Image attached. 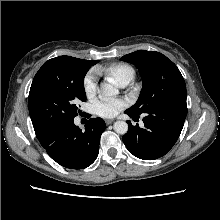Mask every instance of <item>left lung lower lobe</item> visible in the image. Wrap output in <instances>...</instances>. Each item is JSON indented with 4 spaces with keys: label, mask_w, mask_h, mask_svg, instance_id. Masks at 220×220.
<instances>
[{
    "label": "left lung lower lobe",
    "mask_w": 220,
    "mask_h": 220,
    "mask_svg": "<svg viewBox=\"0 0 220 220\" xmlns=\"http://www.w3.org/2000/svg\"><path fill=\"white\" fill-rule=\"evenodd\" d=\"M130 117L132 115L125 111ZM187 115L186 101H177L157 106L143 118L144 128L133 126L122 137L127 149L136 157L154 160L164 156L176 143Z\"/></svg>",
    "instance_id": "1"
}]
</instances>
